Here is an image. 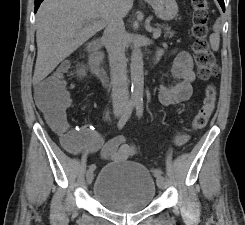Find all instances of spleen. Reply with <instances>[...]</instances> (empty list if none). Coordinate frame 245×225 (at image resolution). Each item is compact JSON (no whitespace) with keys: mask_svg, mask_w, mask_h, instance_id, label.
Listing matches in <instances>:
<instances>
[{"mask_svg":"<svg viewBox=\"0 0 245 225\" xmlns=\"http://www.w3.org/2000/svg\"><path fill=\"white\" fill-rule=\"evenodd\" d=\"M214 33L210 35V44L214 51H217L219 49V43H220V31H221V23L218 19L216 23L213 26Z\"/></svg>","mask_w":245,"mask_h":225,"instance_id":"3e777b00","label":"spleen"}]
</instances>
